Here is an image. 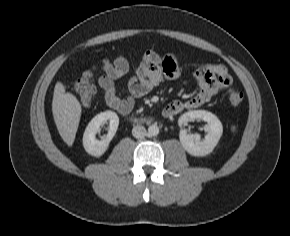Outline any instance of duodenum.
<instances>
[{
  "instance_id": "1",
  "label": "duodenum",
  "mask_w": 290,
  "mask_h": 236,
  "mask_svg": "<svg viewBox=\"0 0 290 236\" xmlns=\"http://www.w3.org/2000/svg\"><path fill=\"white\" fill-rule=\"evenodd\" d=\"M130 119H131V120H136V119H135V118H133V117H131Z\"/></svg>"
}]
</instances>
